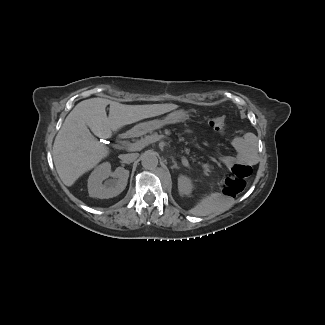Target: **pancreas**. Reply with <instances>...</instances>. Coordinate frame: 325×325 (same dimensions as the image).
Instances as JSON below:
<instances>
[{"label":"pancreas","mask_w":325,"mask_h":325,"mask_svg":"<svg viewBox=\"0 0 325 325\" xmlns=\"http://www.w3.org/2000/svg\"><path fill=\"white\" fill-rule=\"evenodd\" d=\"M150 133L151 134H157V135H159V134H161V135L165 134L166 136L171 137L173 139H176L177 138L178 142L180 143L181 151H182L183 155L187 159H189L190 161H192L193 163L199 165L202 168L208 167V165H209L208 160L206 158H204V157H200L199 155L195 154L190 149V145H189L188 139L183 134H180L179 135V133H178L177 130L172 129L170 127H167V128L166 127H164V128L162 127L159 130L153 129V130H151Z\"/></svg>","instance_id":"pancreas-1"}]
</instances>
